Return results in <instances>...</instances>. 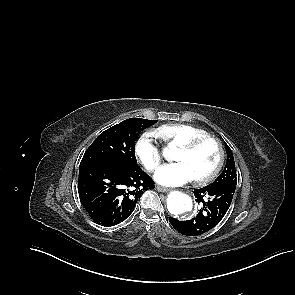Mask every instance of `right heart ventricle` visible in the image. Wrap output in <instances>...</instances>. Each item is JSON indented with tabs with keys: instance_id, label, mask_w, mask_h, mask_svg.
<instances>
[{
	"instance_id": "right-heart-ventricle-1",
	"label": "right heart ventricle",
	"mask_w": 295,
	"mask_h": 295,
	"mask_svg": "<svg viewBox=\"0 0 295 295\" xmlns=\"http://www.w3.org/2000/svg\"><path fill=\"white\" fill-rule=\"evenodd\" d=\"M155 135L162 139L167 145L181 147L191 140L207 135L208 132L188 124H166L154 131Z\"/></svg>"
}]
</instances>
